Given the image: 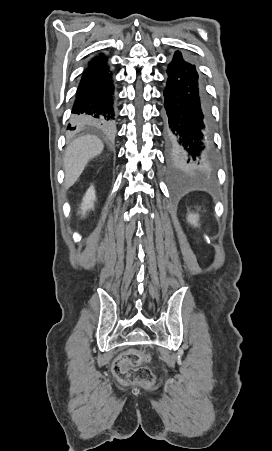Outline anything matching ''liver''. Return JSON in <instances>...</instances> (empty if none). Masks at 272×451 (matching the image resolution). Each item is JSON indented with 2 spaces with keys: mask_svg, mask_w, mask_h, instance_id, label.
<instances>
[{
  "mask_svg": "<svg viewBox=\"0 0 272 451\" xmlns=\"http://www.w3.org/2000/svg\"><path fill=\"white\" fill-rule=\"evenodd\" d=\"M104 144L97 136H81L69 144L64 156L65 188H70L81 176L90 158L103 152Z\"/></svg>",
  "mask_w": 272,
  "mask_h": 451,
  "instance_id": "obj_1",
  "label": "liver"
}]
</instances>
